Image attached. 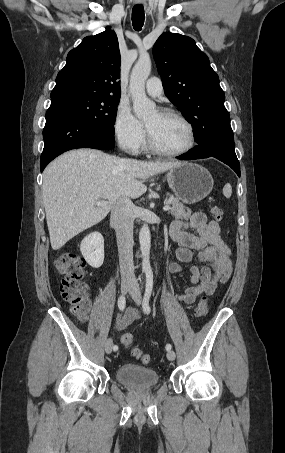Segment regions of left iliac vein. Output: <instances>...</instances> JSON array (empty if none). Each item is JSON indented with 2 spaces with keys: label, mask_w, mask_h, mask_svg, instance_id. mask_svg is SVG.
<instances>
[{
  "label": "left iliac vein",
  "mask_w": 285,
  "mask_h": 453,
  "mask_svg": "<svg viewBox=\"0 0 285 453\" xmlns=\"http://www.w3.org/2000/svg\"><path fill=\"white\" fill-rule=\"evenodd\" d=\"M130 295L131 297L133 298V300L138 304L140 305L142 303V295H141V291H140V288H139V285L137 283H134L133 284V287L132 289L130 290ZM175 352L173 350H169L167 352V358L168 360L170 361H173L175 360Z\"/></svg>",
  "instance_id": "left-iliac-vein-1"
}]
</instances>
